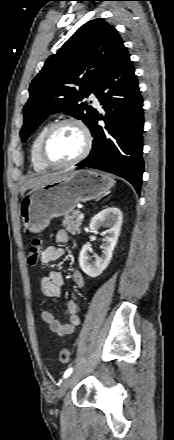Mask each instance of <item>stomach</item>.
<instances>
[{
  "label": "stomach",
  "instance_id": "stomach-1",
  "mask_svg": "<svg viewBox=\"0 0 174 440\" xmlns=\"http://www.w3.org/2000/svg\"><path fill=\"white\" fill-rule=\"evenodd\" d=\"M114 184L108 174L82 169L35 187L20 203L24 226L31 232H41L51 219L72 213L78 203L99 197Z\"/></svg>",
  "mask_w": 174,
  "mask_h": 440
}]
</instances>
